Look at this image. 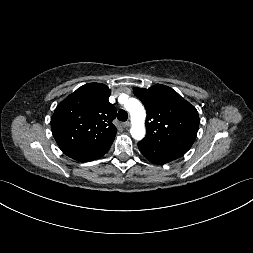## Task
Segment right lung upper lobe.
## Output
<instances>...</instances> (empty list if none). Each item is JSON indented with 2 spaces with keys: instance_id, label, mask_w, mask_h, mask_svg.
<instances>
[{
  "instance_id": "cb5924a9",
  "label": "right lung upper lobe",
  "mask_w": 253,
  "mask_h": 253,
  "mask_svg": "<svg viewBox=\"0 0 253 253\" xmlns=\"http://www.w3.org/2000/svg\"><path fill=\"white\" fill-rule=\"evenodd\" d=\"M111 90L89 83L59 103L51 118L52 134L62 152L73 157L114 140L116 108L108 101Z\"/></svg>"
}]
</instances>
